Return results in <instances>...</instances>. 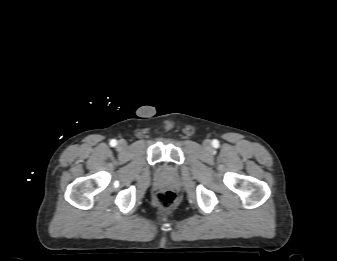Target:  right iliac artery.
<instances>
[{"label": "right iliac artery", "instance_id": "obj_1", "mask_svg": "<svg viewBox=\"0 0 337 261\" xmlns=\"http://www.w3.org/2000/svg\"><path fill=\"white\" fill-rule=\"evenodd\" d=\"M110 145H111L112 147L116 146V145H117V141H116L115 139H112V140L110 141Z\"/></svg>", "mask_w": 337, "mask_h": 261}]
</instances>
